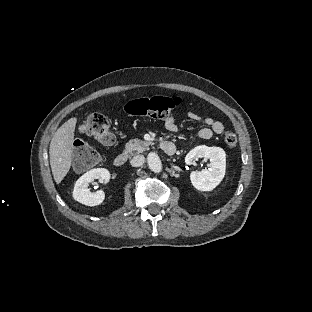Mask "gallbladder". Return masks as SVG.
Masks as SVG:
<instances>
[{
	"label": "gallbladder",
	"instance_id": "bac80fb5",
	"mask_svg": "<svg viewBox=\"0 0 312 312\" xmlns=\"http://www.w3.org/2000/svg\"><path fill=\"white\" fill-rule=\"evenodd\" d=\"M78 132L81 133V134L85 132V131H84V124H80V125H79V127H78Z\"/></svg>",
	"mask_w": 312,
	"mask_h": 312
}]
</instances>
